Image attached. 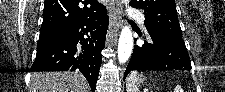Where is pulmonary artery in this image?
<instances>
[{"mask_svg":"<svg viewBox=\"0 0 225 92\" xmlns=\"http://www.w3.org/2000/svg\"><path fill=\"white\" fill-rule=\"evenodd\" d=\"M129 14H130L131 17L136 18V20H137L141 25H144V23H145V16H144L143 13L137 12V11H131Z\"/></svg>","mask_w":225,"mask_h":92,"instance_id":"pulmonary-artery-1","label":"pulmonary artery"}]
</instances>
